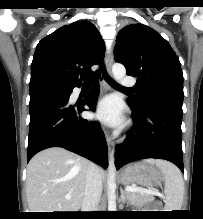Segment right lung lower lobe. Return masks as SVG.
Wrapping results in <instances>:
<instances>
[{
	"instance_id": "98d812e1",
	"label": "right lung lower lobe",
	"mask_w": 203,
	"mask_h": 219,
	"mask_svg": "<svg viewBox=\"0 0 203 219\" xmlns=\"http://www.w3.org/2000/svg\"><path fill=\"white\" fill-rule=\"evenodd\" d=\"M76 86L80 84L67 90L40 89L30 94L27 161L43 149L63 147L107 168L108 149L100 124L78 116L86 110L84 105L95 110L98 90L82 103L72 105L69 97Z\"/></svg>"
}]
</instances>
